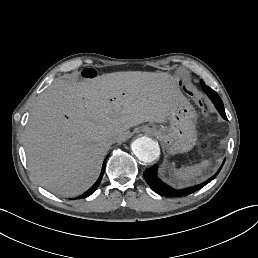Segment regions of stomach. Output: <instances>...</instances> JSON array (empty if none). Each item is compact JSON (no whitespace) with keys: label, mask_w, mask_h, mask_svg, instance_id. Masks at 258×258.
<instances>
[{"label":"stomach","mask_w":258,"mask_h":258,"mask_svg":"<svg viewBox=\"0 0 258 258\" xmlns=\"http://www.w3.org/2000/svg\"><path fill=\"white\" fill-rule=\"evenodd\" d=\"M177 87L180 90L182 85L177 82ZM167 120L168 126L150 123L142 126L140 131L155 136L170 154L192 150L197 142V113L181 90L172 103Z\"/></svg>","instance_id":"stomach-1"}]
</instances>
